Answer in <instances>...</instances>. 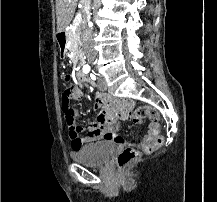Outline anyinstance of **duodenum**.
Listing matches in <instances>:
<instances>
[{"label":"duodenum","mask_w":217,"mask_h":202,"mask_svg":"<svg viewBox=\"0 0 217 202\" xmlns=\"http://www.w3.org/2000/svg\"><path fill=\"white\" fill-rule=\"evenodd\" d=\"M57 43L59 47V54L61 58H65L67 56V32L65 30H61L57 34ZM78 79L88 85L94 86V82L87 77L84 71L80 70L77 72Z\"/></svg>","instance_id":"duodenum-1"}]
</instances>
